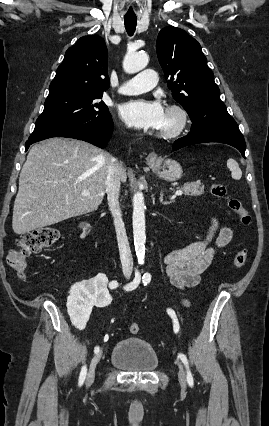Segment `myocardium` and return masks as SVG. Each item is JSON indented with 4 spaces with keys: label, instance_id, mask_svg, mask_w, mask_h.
Listing matches in <instances>:
<instances>
[{
    "label": "myocardium",
    "instance_id": "f54148a6",
    "mask_svg": "<svg viewBox=\"0 0 269 426\" xmlns=\"http://www.w3.org/2000/svg\"><path fill=\"white\" fill-rule=\"evenodd\" d=\"M166 112L174 118V124L170 128L160 130L159 137L167 140L175 139L186 130L189 115L182 106L176 104L168 106Z\"/></svg>",
    "mask_w": 269,
    "mask_h": 426
}]
</instances>
